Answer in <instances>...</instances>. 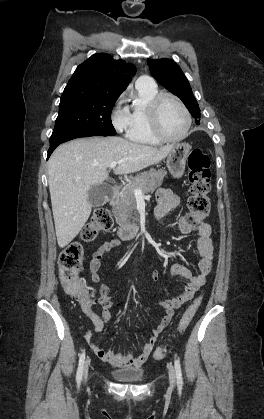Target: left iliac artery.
Instances as JSON below:
<instances>
[{"label":"left iliac artery","instance_id":"44dca946","mask_svg":"<svg viewBox=\"0 0 264 419\" xmlns=\"http://www.w3.org/2000/svg\"><path fill=\"white\" fill-rule=\"evenodd\" d=\"M174 365H175V371H176L177 384L179 386H182L183 381H182V372H181L180 361L178 359H175Z\"/></svg>","mask_w":264,"mask_h":419}]
</instances>
